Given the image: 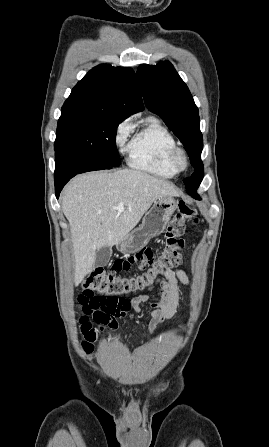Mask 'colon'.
<instances>
[{
  "label": "colon",
  "mask_w": 269,
  "mask_h": 447,
  "mask_svg": "<svg viewBox=\"0 0 269 447\" xmlns=\"http://www.w3.org/2000/svg\"><path fill=\"white\" fill-rule=\"evenodd\" d=\"M199 222L197 210L194 206L180 203L177 211L170 219L164 237L165 247L159 252L142 249L135 253H128L127 257H116L115 262H109L106 269L94 266L92 272L82 282L84 292L78 298L83 310L79 318L80 331L83 334L82 347L86 352L92 350V344L97 338V328L91 323H109L113 314L123 312L129 306V301L135 292H149L162 281L167 273L182 262V249L185 246L183 234L186 227L196 226ZM119 271H142L132 277L117 276ZM90 295L94 296L90 299ZM118 318L126 315L117 314ZM108 338L113 336L111 331H117V322H110ZM180 326L177 330L181 331ZM101 329V328H100Z\"/></svg>",
  "instance_id": "1"
}]
</instances>
